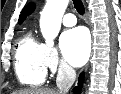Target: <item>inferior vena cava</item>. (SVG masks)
<instances>
[{
	"mask_svg": "<svg viewBox=\"0 0 121 94\" xmlns=\"http://www.w3.org/2000/svg\"><path fill=\"white\" fill-rule=\"evenodd\" d=\"M76 79L75 70L65 65L59 69L56 85L61 94H67Z\"/></svg>",
	"mask_w": 121,
	"mask_h": 94,
	"instance_id": "obj_1",
	"label": "inferior vena cava"
}]
</instances>
